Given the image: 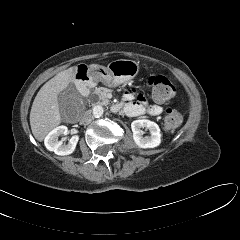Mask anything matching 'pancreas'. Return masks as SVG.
<instances>
[{
	"label": "pancreas",
	"instance_id": "obj_1",
	"mask_svg": "<svg viewBox=\"0 0 240 240\" xmlns=\"http://www.w3.org/2000/svg\"><path fill=\"white\" fill-rule=\"evenodd\" d=\"M109 90L104 87L95 88L92 94L97 95L99 99V103L102 105H108L109 99L107 98V93Z\"/></svg>",
	"mask_w": 240,
	"mask_h": 240
}]
</instances>
